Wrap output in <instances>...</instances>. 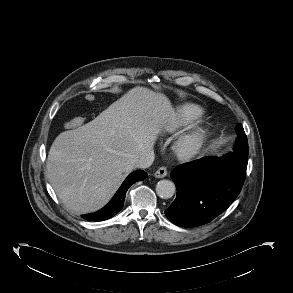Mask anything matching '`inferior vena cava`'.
Instances as JSON below:
<instances>
[{"mask_svg":"<svg viewBox=\"0 0 293 293\" xmlns=\"http://www.w3.org/2000/svg\"><path fill=\"white\" fill-rule=\"evenodd\" d=\"M154 161V151L150 150L144 153L139 158L135 159L133 162L134 168H148L152 165Z\"/></svg>","mask_w":293,"mask_h":293,"instance_id":"1","label":"inferior vena cava"}]
</instances>
